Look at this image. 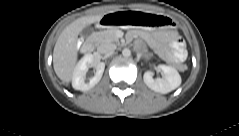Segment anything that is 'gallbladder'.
<instances>
[{"label": "gallbladder", "mask_w": 239, "mask_h": 136, "mask_svg": "<svg viewBox=\"0 0 239 136\" xmlns=\"http://www.w3.org/2000/svg\"><path fill=\"white\" fill-rule=\"evenodd\" d=\"M82 33H83V35H84L85 37H88L89 35H91L92 30H91L89 27H86V28H84V30L82 31Z\"/></svg>", "instance_id": "bac80fb5"}]
</instances>
